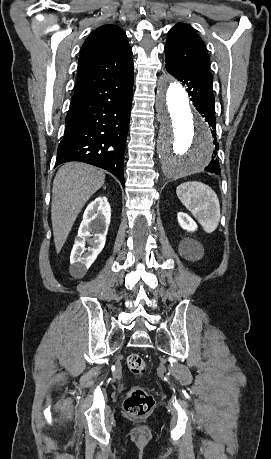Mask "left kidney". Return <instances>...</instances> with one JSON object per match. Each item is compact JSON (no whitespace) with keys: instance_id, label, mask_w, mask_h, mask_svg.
Returning <instances> with one entry per match:
<instances>
[{"instance_id":"5707ae66","label":"left kidney","mask_w":271,"mask_h":459,"mask_svg":"<svg viewBox=\"0 0 271 459\" xmlns=\"http://www.w3.org/2000/svg\"><path fill=\"white\" fill-rule=\"evenodd\" d=\"M177 218L181 228L187 229V231H194V229L197 228V224H195L194 220H192V218H190L188 214H184V212H179V214H177ZM183 243L184 245H186V247L187 245H189V247H187L189 251H195L196 247L195 245H193L192 241L190 243L189 239H185Z\"/></svg>"}]
</instances>
